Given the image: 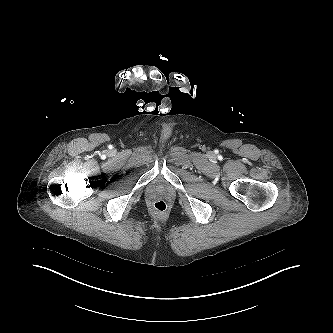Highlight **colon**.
<instances>
[{
  "mask_svg": "<svg viewBox=\"0 0 333 333\" xmlns=\"http://www.w3.org/2000/svg\"><path fill=\"white\" fill-rule=\"evenodd\" d=\"M152 209L157 214L163 215L168 211V204L162 199H157L152 203Z\"/></svg>",
  "mask_w": 333,
  "mask_h": 333,
  "instance_id": "obj_1",
  "label": "colon"
}]
</instances>
